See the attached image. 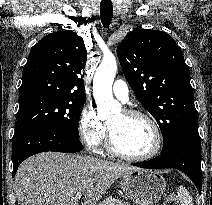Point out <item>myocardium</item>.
I'll list each match as a JSON object with an SVG mask.
<instances>
[{
	"label": "myocardium",
	"mask_w": 212,
	"mask_h": 205,
	"mask_svg": "<svg viewBox=\"0 0 212 205\" xmlns=\"http://www.w3.org/2000/svg\"><path fill=\"white\" fill-rule=\"evenodd\" d=\"M124 114L130 117L142 118L148 123L152 132V139H153L152 146L147 152L140 155L125 154L115 147L110 130H109L108 139L106 143L109 153H111L112 155L120 159L132 161V162H142V161H147L154 158L159 153L162 146L161 131L156 120L149 113L141 111V110H125Z\"/></svg>",
	"instance_id": "1"
}]
</instances>
